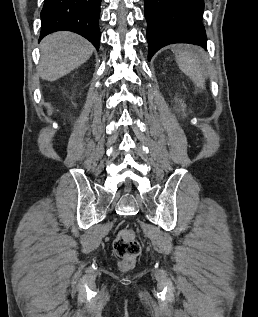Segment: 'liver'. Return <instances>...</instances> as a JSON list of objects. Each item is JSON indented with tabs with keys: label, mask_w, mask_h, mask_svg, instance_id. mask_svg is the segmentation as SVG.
Masks as SVG:
<instances>
[{
	"label": "liver",
	"mask_w": 258,
	"mask_h": 317,
	"mask_svg": "<svg viewBox=\"0 0 258 317\" xmlns=\"http://www.w3.org/2000/svg\"><path fill=\"white\" fill-rule=\"evenodd\" d=\"M40 76L44 80H57L90 58L93 46L75 32H53L43 38Z\"/></svg>",
	"instance_id": "6515ba94"
}]
</instances>
